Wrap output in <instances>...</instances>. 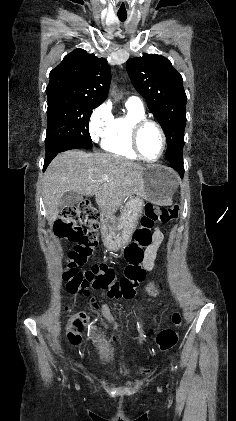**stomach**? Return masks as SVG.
<instances>
[{
	"mask_svg": "<svg viewBox=\"0 0 236 421\" xmlns=\"http://www.w3.org/2000/svg\"><path fill=\"white\" fill-rule=\"evenodd\" d=\"M145 196H131L127 200L119 217L104 215L106 219V237L104 245L108 251H119L130 243L134 231L143 215V198L154 204H167L178 186L176 176L169 166L147 164L143 172Z\"/></svg>",
	"mask_w": 236,
	"mask_h": 421,
	"instance_id": "1",
	"label": "stomach"
}]
</instances>
